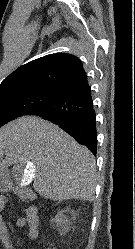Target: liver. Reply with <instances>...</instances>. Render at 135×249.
Returning a JSON list of instances; mask_svg holds the SVG:
<instances>
[{"mask_svg": "<svg viewBox=\"0 0 135 249\" xmlns=\"http://www.w3.org/2000/svg\"><path fill=\"white\" fill-rule=\"evenodd\" d=\"M30 162L36 192L47 199L93 201L96 165L92 153L71 136L36 116H23L0 128V168Z\"/></svg>", "mask_w": 135, "mask_h": 249, "instance_id": "obj_1", "label": "liver"}]
</instances>
